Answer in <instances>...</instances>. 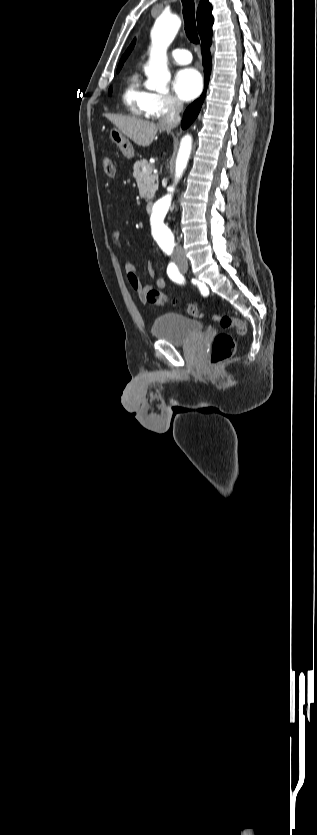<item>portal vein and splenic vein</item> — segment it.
Here are the masks:
<instances>
[{
  "label": "portal vein and splenic vein",
  "instance_id": "18ae733b",
  "mask_svg": "<svg viewBox=\"0 0 317 835\" xmlns=\"http://www.w3.org/2000/svg\"><path fill=\"white\" fill-rule=\"evenodd\" d=\"M147 171H148V169H147V168H143V172H147Z\"/></svg>",
  "mask_w": 317,
  "mask_h": 835
}]
</instances>
